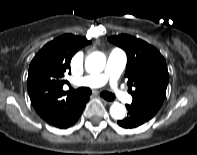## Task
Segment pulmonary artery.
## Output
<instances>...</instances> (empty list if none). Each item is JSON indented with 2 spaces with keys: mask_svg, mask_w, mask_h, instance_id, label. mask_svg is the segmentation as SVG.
<instances>
[{
  "mask_svg": "<svg viewBox=\"0 0 197 155\" xmlns=\"http://www.w3.org/2000/svg\"><path fill=\"white\" fill-rule=\"evenodd\" d=\"M125 64V53L119 48H114L108 57L106 68L103 73L86 76L77 80L75 84L86 87H100L109 82L115 95L119 99L130 102L131 98L118 88L116 83L125 67Z\"/></svg>",
  "mask_w": 197,
  "mask_h": 155,
  "instance_id": "pulmonary-artery-1",
  "label": "pulmonary artery"
}]
</instances>
